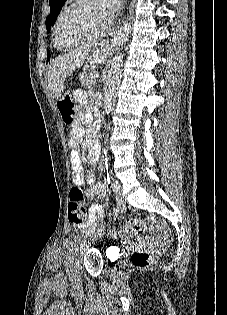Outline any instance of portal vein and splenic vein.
<instances>
[{"label":"portal vein and splenic vein","instance_id":"1","mask_svg":"<svg viewBox=\"0 0 227 315\" xmlns=\"http://www.w3.org/2000/svg\"><path fill=\"white\" fill-rule=\"evenodd\" d=\"M98 76H99V74L96 73V72H94L93 78H94V79H95V78H98Z\"/></svg>","mask_w":227,"mask_h":315}]
</instances>
